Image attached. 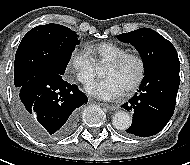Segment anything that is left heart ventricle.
Segmentation results:
<instances>
[{
  "label": "left heart ventricle",
  "instance_id": "b2bd125f",
  "mask_svg": "<svg viewBox=\"0 0 190 165\" xmlns=\"http://www.w3.org/2000/svg\"><path fill=\"white\" fill-rule=\"evenodd\" d=\"M139 73V66L136 61L129 60L121 67H113L107 65L104 71L106 78H114L124 88L129 87L137 78Z\"/></svg>",
  "mask_w": 190,
  "mask_h": 165
}]
</instances>
